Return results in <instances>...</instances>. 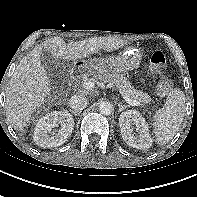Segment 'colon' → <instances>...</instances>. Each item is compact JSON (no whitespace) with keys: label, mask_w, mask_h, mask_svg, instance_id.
I'll return each mask as SVG.
<instances>
[{"label":"colon","mask_w":197,"mask_h":197,"mask_svg":"<svg viewBox=\"0 0 197 197\" xmlns=\"http://www.w3.org/2000/svg\"><path fill=\"white\" fill-rule=\"evenodd\" d=\"M149 61L151 69L158 74H162L166 68V57L163 52L156 49H149ZM172 88L171 80L162 75L158 85H157V93L160 96H166Z\"/></svg>","instance_id":"colon-1"}]
</instances>
